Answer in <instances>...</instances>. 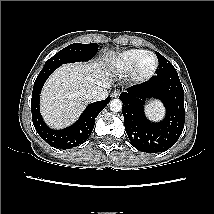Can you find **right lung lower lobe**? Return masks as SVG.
I'll return each instance as SVG.
<instances>
[{
  "instance_id": "right-lung-lower-lobe-1",
  "label": "right lung lower lobe",
  "mask_w": 214,
  "mask_h": 214,
  "mask_svg": "<svg viewBox=\"0 0 214 214\" xmlns=\"http://www.w3.org/2000/svg\"><path fill=\"white\" fill-rule=\"evenodd\" d=\"M56 68L58 67H43L37 76L31 99L32 120L38 134L49 145L60 149H70L84 143L88 139L94 128L95 118L109 103L111 98L108 97L103 101L89 104L77 122L68 128L62 130L49 128L40 114L39 99L42 86Z\"/></svg>"
}]
</instances>
